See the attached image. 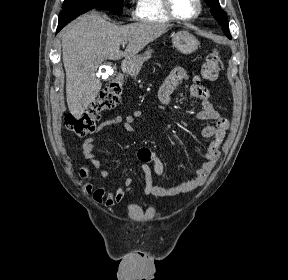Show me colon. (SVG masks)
<instances>
[{
    "mask_svg": "<svg viewBox=\"0 0 288 280\" xmlns=\"http://www.w3.org/2000/svg\"><path fill=\"white\" fill-rule=\"evenodd\" d=\"M222 59L218 51L210 52L201 65L198 80L214 81L222 69ZM122 81L120 77L109 82L99 95L89 104L88 108L80 115L67 114L65 128L79 137L86 136L96 130L100 114L114 108L120 101Z\"/></svg>",
    "mask_w": 288,
    "mask_h": 280,
    "instance_id": "5ec220e1",
    "label": "colon"
}]
</instances>
